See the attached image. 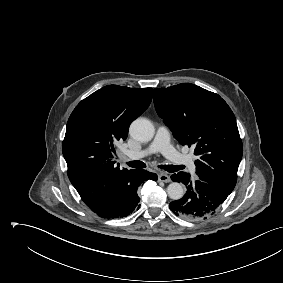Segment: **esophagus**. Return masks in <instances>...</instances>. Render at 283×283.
Here are the masks:
<instances>
[{
  "label": "esophagus",
  "mask_w": 283,
  "mask_h": 283,
  "mask_svg": "<svg viewBox=\"0 0 283 283\" xmlns=\"http://www.w3.org/2000/svg\"><path fill=\"white\" fill-rule=\"evenodd\" d=\"M159 181L169 183L171 181L168 174L161 172L158 176Z\"/></svg>",
  "instance_id": "obj_1"
}]
</instances>
